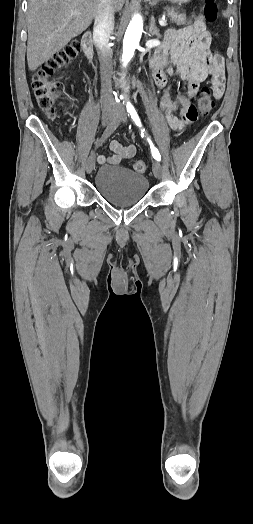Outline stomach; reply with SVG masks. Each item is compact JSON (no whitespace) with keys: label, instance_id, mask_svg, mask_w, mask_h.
<instances>
[{"label":"stomach","instance_id":"1","mask_svg":"<svg viewBox=\"0 0 253 524\" xmlns=\"http://www.w3.org/2000/svg\"><path fill=\"white\" fill-rule=\"evenodd\" d=\"M147 1H148L150 4L154 5V4L157 3L158 0H147ZM169 1H171V2H173V3H179V4H181V3H187V2H189L190 0H169Z\"/></svg>","mask_w":253,"mask_h":524}]
</instances>
